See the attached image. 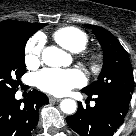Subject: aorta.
<instances>
[{"instance_id": "obj_1", "label": "aorta", "mask_w": 136, "mask_h": 136, "mask_svg": "<svg viewBox=\"0 0 136 136\" xmlns=\"http://www.w3.org/2000/svg\"><path fill=\"white\" fill-rule=\"evenodd\" d=\"M42 61L47 66H62L69 61V55L55 46H48L42 51ZM76 108L77 104L72 99H64L60 103L61 111L66 114H73Z\"/></svg>"}]
</instances>
